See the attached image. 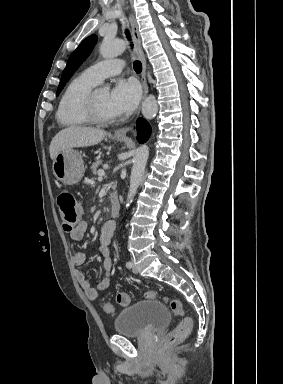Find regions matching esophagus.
I'll use <instances>...</instances> for the list:
<instances>
[{"label":"esophagus","mask_w":283,"mask_h":384,"mask_svg":"<svg viewBox=\"0 0 283 384\" xmlns=\"http://www.w3.org/2000/svg\"><path fill=\"white\" fill-rule=\"evenodd\" d=\"M131 29H132V35H133V40L135 44V52L139 58V60L142 62V76H141V82L143 86V99L146 97L148 94V84L146 82V60L145 56L141 47V37L138 29L137 22L134 18V16L131 14ZM140 113V108L138 110L137 115ZM131 130V127H122L121 129L116 130L114 133V136L116 137H126L127 132Z\"/></svg>","instance_id":"1"}]
</instances>
